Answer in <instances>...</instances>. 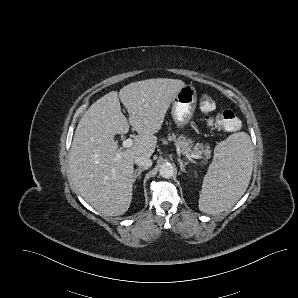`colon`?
<instances>
[{"label":"colon","mask_w":298,"mask_h":298,"mask_svg":"<svg viewBox=\"0 0 298 298\" xmlns=\"http://www.w3.org/2000/svg\"><path fill=\"white\" fill-rule=\"evenodd\" d=\"M199 106L202 112L208 114L207 121L211 127L229 132L240 128V120L233 111L224 110L213 114L216 103L210 94L202 93L199 96Z\"/></svg>","instance_id":"colon-1"}]
</instances>
